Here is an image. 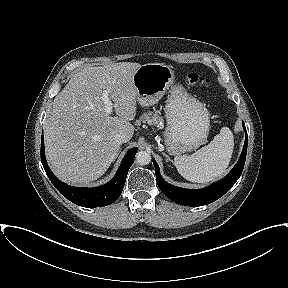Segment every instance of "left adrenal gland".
<instances>
[{"instance_id":"a2214340","label":"left adrenal gland","mask_w":288,"mask_h":288,"mask_svg":"<svg viewBox=\"0 0 288 288\" xmlns=\"http://www.w3.org/2000/svg\"><path fill=\"white\" fill-rule=\"evenodd\" d=\"M163 155L166 157V160H167V161L173 162V161L171 160V158H170L167 154L163 153Z\"/></svg>"}]
</instances>
